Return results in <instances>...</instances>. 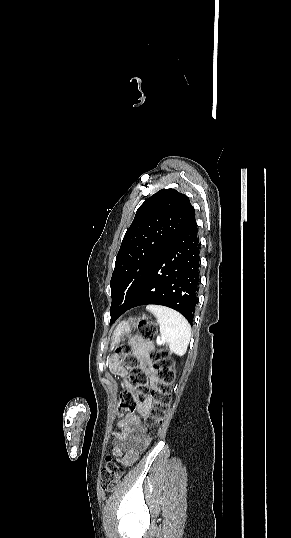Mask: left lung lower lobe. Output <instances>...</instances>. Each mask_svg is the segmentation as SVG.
I'll return each mask as SVG.
<instances>
[{
	"instance_id": "0a47b994",
	"label": "left lung lower lobe",
	"mask_w": 291,
	"mask_h": 538,
	"mask_svg": "<svg viewBox=\"0 0 291 538\" xmlns=\"http://www.w3.org/2000/svg\"><path fill=\"white\" fill-rule=\"evenodd\" d=\"M197 234L194 218L161 253L133 300L110 313V324L133 307L157 304L179 311L192 325L200 285Z\"/></svg>"
}]
</instances>
